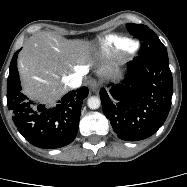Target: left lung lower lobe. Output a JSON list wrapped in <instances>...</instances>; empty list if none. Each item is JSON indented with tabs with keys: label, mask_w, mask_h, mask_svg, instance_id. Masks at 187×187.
Masks as SVG:
<instances>
[{
	"label": "left lung lower lobe",
	"mask_w": 187,
	"mask_h": 187,
	"mask_svg": "<svg viewBox=\"0 0 187 187\" xmlns=\"http://www.w3.org/2000/svg\"><path fill=\"white\" fill-rule=\"evenodd\" d=\"M109 86L101 88L100 98L118 138L146 139L163 125L173 94L168 60L139 55L128 63L124 80Z\"/></svg>",
	"instance_id": "1"
}]
</instances>
